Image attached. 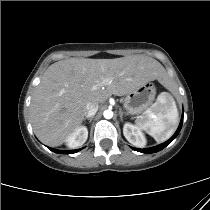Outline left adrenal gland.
<instances>
[{
	"label": "left adrenal gland",
	"instance_id": "left-adrenal-gland-1",
	"mask_svg": "<svg viewBox=\"0 0 210 210\" xmlns=\"http://www.w3.org/2000/svg\"><path fill=\"white\" fill-rule=\"evenodd\" d=\"M119 116H120L121 121H123V112L121 108L119 109Z\"/></svg>",
	"mask_w": 210,
	"mask_h": 210
}]
</instances>
